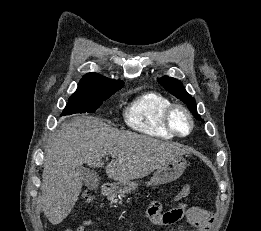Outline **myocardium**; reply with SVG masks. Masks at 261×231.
Segmentation results:
<instances>
[{
	"mask_svg": "<svg viewBox=\"0 0 261 231\" xmlns=\"http://www.w3.org/2000/svg\"><path fill=\"white\" fill-rule=\"evenodd\" d=\"M180 111L182 113H184L189 122H190V129L187 133L182 134L180 132H178L174 126L173 123V115L177 112ZM164 124L166 129L173 134L176 137H180V138H184L187 137L188 135L191 134V132L194 129V119L193 116L191 114V112L183 105L181 104H172L171 106L168 107V109L166 110L165 114H164Z\"/></svg>",
	"mask_w": 261,
	"mask_h": 231,
	"instance_id": "1",
	"label": "myocardium"
}]
</instances>
